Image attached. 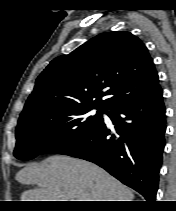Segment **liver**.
Wrapping results in <instances>:
<instances>
[{"label": "liver", "mask_w": 176, "mask_h": 211, "mask_svg": "<svg viewBox=\"0 0 176 211\" xmlns=\"http://www.w3.org/2000/svg\"><path fill=\"white\" fill-rule=\"evenodd\" d=\"M25 190L21 201H133L132 191L96 164L70 156L53 155L30 164L15 176Z\"/></svg>", "instance_id": "liver-1"}]
</instances>
